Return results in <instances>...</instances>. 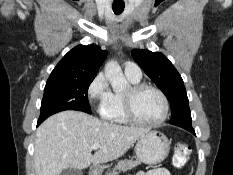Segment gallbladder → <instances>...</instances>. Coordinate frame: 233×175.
Masks as SVG:
<instances>
[{
    "instance_id": "gallbladder-1",
    "label": "gallbladder",
    "mask_w": 233,
    "mask_h": 175,
    "mask_svg": "<svg viewBox=\"0 0 233 175\" xmlns=\"http://www.w3.org/2000/svg\"><path fill=\"white\" fill-rule=\"evenodd\" d=\"M60 175H83L81 170L74 169V168H67L64 169Z\"/></svg>"
}]
</instances>
